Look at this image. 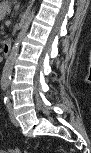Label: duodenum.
Segmentation results:
<instances>
[{
  "mask_svg": "<svg viewBox=\"0 0 91 153\" xmlns=\"http://www.w3.org/2000/svg\"><path fill=\"white\" fill-rule=\"evenodd\" d=\"M11 48H12L11 40L10 39L5 40L3 45V55L5 58H7L10 55Z\"/></svg>",
  "mask_w": 91,
  "mask_h": 153,
  "instance_id": "obj_1",
  "label": "duodenum"
}]
</instances>
